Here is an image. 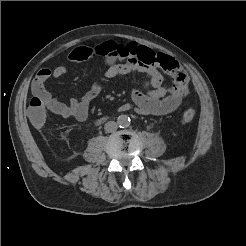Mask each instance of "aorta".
I'll return each mask as SVG.
<instances>
[{
	"label": "aorta",
	"mask_w": 246,
	"mask_h": 246,
	"mask_svg": "<svg viewBox=\"0 0 246 246\" xmlns=\"http://www.w3.org/2000/svg\"><path fill=\"white\" fill-rule=\"evenodd\" d=\"M117 124L120 127H127L130 125V118L127 115H120L117 118Z\"/></svg>",
	"instance_id": "1"
}]
</instances>
